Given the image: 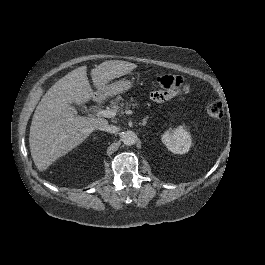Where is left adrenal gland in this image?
I'll use <instances>...</instances> for the list:
<instances>
[{
    "instance_id": "a2214340",
    "label": "left adrenal gland",
    "mask_w": 265,
    "mask_h": 265,
    "mask_svg": "<svg viewBox=\"0 0 265 265\" xmlns=\"http://www.w3.org/2000/svg\"><path fill=\"white\" fill-rule=\"evenodd\" d=\"M148 118H149V117L146 116V117L143 119L142 123H139V125L145 126L146 123H147Z\"/></svg>"
}]
</instances>
